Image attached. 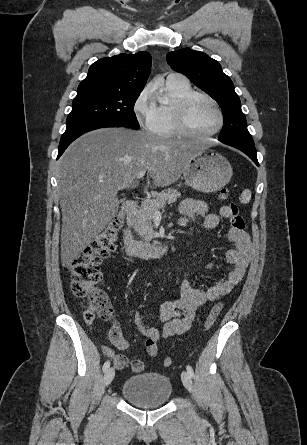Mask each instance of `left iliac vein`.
I'll return each mask as SVG.
<instances>
[{"label":"left iliac vein","instance_id":"4c4485c4","mask_svg":"<svg viewBox=\"0 0 307 445\" xmlns=\"http://www.w3.org/2000/svg\"><path fill=\"white\" fill-rule=\"evenodd\" d=\"M181 378H182V382H183L185 388L188 391L192 392V379H191V376L189 375V373L186 371H183L181 374Z\"/></svg>","mask_w":307,"mask_h":445}]
</instances>
